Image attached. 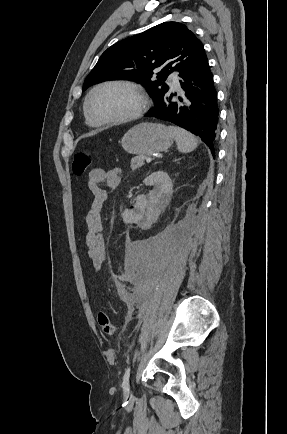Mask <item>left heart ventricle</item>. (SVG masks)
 Listing matches in <instances>:
<instances>
[{
  "label": "left heart ventricle",
  "mask_w": 287,
  "mask_h": 434,
  "mask_svg": "<svg viewBox=\"0 0 287 434\" xmlns=\"http://www.w3.org/2000/svg\"><path fill=\"white\" fill-rule=\"evenodd\" d=\"M139 97L122 86H106L97 90L90 101V111L100 120L118 119L133 113L139 106Z\"/></svg>",
  "instance_id": "1"
}]
</instances>
